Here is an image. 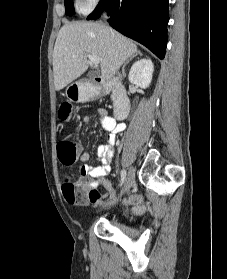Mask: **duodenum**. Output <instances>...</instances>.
I'll return each instance as SVG.
<instances>
[{"label": "duodenum", "instance_id": "obj_1", "mask_svg": "<svg viewBox=\"0 0 227 279\" xmlns=\"http://www.w3.org/2000/svg\"><path fill=\"white\" fill-rule=\"evenodd\" d=\"M110 92L114 95L115 116L120 120L125 119L130 111V98L125 87L119 82L93 78L92 86L81 94V103L94 101Z\"/></svg>", "mask_w": 227, "mask_h": 279}]
</instances>
